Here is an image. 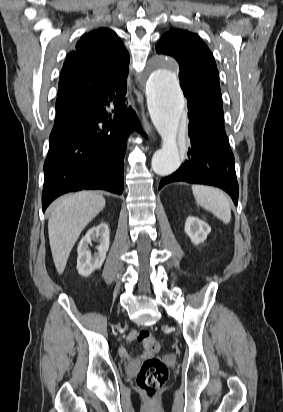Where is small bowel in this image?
<instances>
[{
	"instance_id": "1",
	"label": "small bowel",
	"mask_w": 283,
	"mask_h": 412,
	"mask_svg": "<svg viewBox=\"0 0 283 412\" xmlns=\"http://www.w3.org/2000/svg\"><path fill=\"white\" fill-rule=\"evenodd\" d=\"M136 339V332L132 331L129 333V335L127 336V343L130 344L132 343L134 340ZM119 355L127 360H135L136 357L132 356L130 350L128 349V347L126 345H123L119 348ZM143 356H145V354H143Z\"/></svg>"
}]
</instances>
